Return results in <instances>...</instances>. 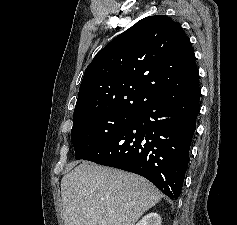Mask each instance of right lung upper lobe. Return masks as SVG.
<instances>
[{
    "label": "right lung upper lobe",
    "instance_id": "obj_1",
    "mask_svg": "<svg viewBox=\"0 0 237 225\" xmlns=\"http://www.w3.org/2000/svg\"><path fill=\"white\" fill-rule=\"evenodd\" d=\"M198 84L195 54L181 26L166 15L145 17L88 65L73 122L106 113H137L164 94Z\"/></svg>",
    "mask_w": 237,
    "mask_h": 225
}]
</instances>
